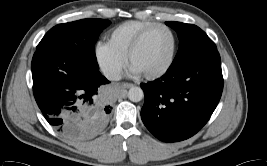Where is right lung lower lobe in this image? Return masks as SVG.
Here are the masks:
<instances>
[{"instance_id": "right-lung-lower-lobe-1", "label": "right lung lower lobe", "mask_w": 267, "mask_h": 166, "mask_svg": "<svg viewBox=\"0 0 267 166\" xmlns=\"http://www.w3.org/2000/svg\"><path fill=\"white\" fill-rule=\"evenodd\" d=\"M33 92L46 120L70 138L95 135L112 107L96 104L99 88L109 83L97 68L54 48L36 50Z\"/></svg>"}]
</instances>
